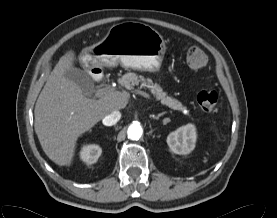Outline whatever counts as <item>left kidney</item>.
<instances>
[{
	"label": "left kidney",
	"instance_id": "obj_1",
	"mask_svg": "<svg viewBox=\"0 0 277 218\" xmlns=\"http://www.w3.org/2000/svg\"><path fill=\"white\" fill-rule=\"evenodd\" d=\"M196 139L195 126L187 124L171 132L167 136V144L173 153L187 155L195 148Z\"/></svg>",
	"mask_w": 277,
	"mask_h": 218
}]
</instances>
